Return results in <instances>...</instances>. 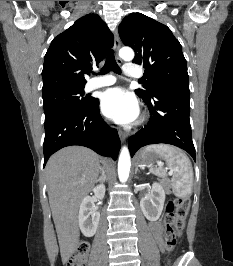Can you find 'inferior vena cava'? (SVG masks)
Segmentation results:
<instances>
[{"instance_id": "1", "label": "inferior vena cava", "mask_w": 233, "mask_h": 266, "mask_svg": "<svg viewBox=\"0 0 233 266\" xmlns=\"http://www.w3.org/2000/svg\"><path fill=\"white\" fill-rule=\"evenodd\" d=\"M101 172H102V174H104V169H103V168L101 169ZM104 175H105V174H104Z\"/></svg>"}]
</instances>
